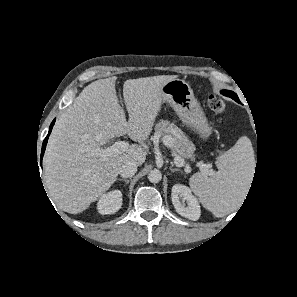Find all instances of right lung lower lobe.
I'll use <instances>...</instances> for the list:
<instances>
[{
    "label": "right lung lower lobe",
    "mask_w": 297,
    "mask_h": 297,
    "mask_svg": "<svg viewBox=\"0 0 297 297\" xmlns=\"http://www.w3.org/2000/svg\"><path fill=\"white\" fill-rule=\"evenodd\" d=\"M54 123H55V119L52 121V123L50 125V128H49L48 135L46 136V138L44 139L43 144H42L41 159H40L41 160V163H42V157L44 155V151H45V148H46L47 140H48V137H49V135L51 133V130L53 128Z\"/></svg>",
    "instance_id": "98d812e1"
}]
</instances>
